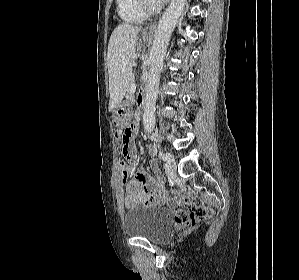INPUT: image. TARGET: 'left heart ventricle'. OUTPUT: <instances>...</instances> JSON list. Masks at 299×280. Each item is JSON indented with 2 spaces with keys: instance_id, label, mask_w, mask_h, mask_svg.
Wrapping results in <instances>:
<instances>
[{
  "instance_id": "left-heart-ventricle-1",
  "label": "left heart ventricle",
  "mask_w": 299,
  "mask_h": 280,
  "mask_svg": "<svg viewBox=\"0 0 299 280\" xmlns=\"http://www.w3.org/2000/svg\"><path fill=\"white\" fill-rule=\"evenodd\" d=\"M147 1H148V3H149L150 5H152V6L156 5V3L154 2V0H147Z\"/></svg>"
}]
</instances>
